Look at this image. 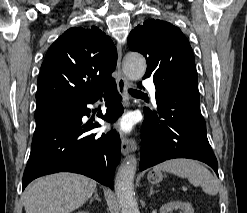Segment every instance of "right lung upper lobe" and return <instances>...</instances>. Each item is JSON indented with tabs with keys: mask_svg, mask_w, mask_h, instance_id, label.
<instances>
[{
	"mask_svg": "<svg viewBox=\"0 0 247 213\" xmlns=\"http://www.w3.org/2000/svg\"><path fill=\"white\" fill-rule=\"evenodd\" d=\"M116 47L99 28L74 27L48 49L41 65L37 107L60 96H91L111 83Z\"/></svg>",
	"mask_w": 247,
	"mask_h": 213,
	"instance_id": "1",
	"label": "right lung upper lobe"
}]
</instances>
